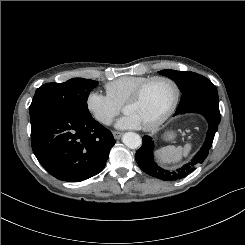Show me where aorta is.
Here are the masks:
<instances>
[{"label": "aorta", "instance_id": "obj_1", "mask_svg": "<svg viewBox=\"0 0 245 245\" xmlns=\"http://www.w3.org/2000/svg\"><path fill=\"white\" fill-rule=\"evenodd\" d=\"M122 142L130 149H136L141 146V137L134 132H127L122 137Z\"/></svg>", "mask_w": 245, "mask_h": 245}]
</instances>
